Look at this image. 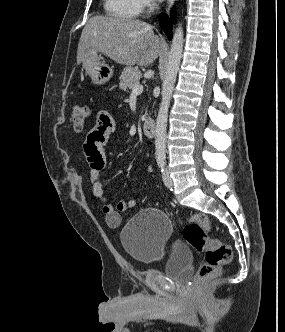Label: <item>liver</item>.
<instances>
[{"instance_id": "liver-1", "label": "liver", "mask_w": 285, "mask_h": 332, "mask_svg": "<svg viewBox=\"0 0 285 332\" xmlns=\"http://www.w3.org/2000/svg\"><path fill=\"white\" fill-rule=\"evenodd\" d=\"M164 47L153 27L137 19L93 16L86 23L79 40L77 63L102 53L122 65L147 66Z\"/></svg>"}]
</instances>
